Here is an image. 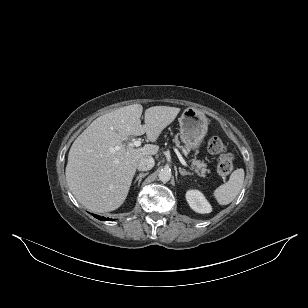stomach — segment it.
I'll return each instance as SVG.
<instances>
[{
  "label": "stomach",
  "instance_id": "1",
  "mask_svg": "<svg viewBox=\"0 0 308 308\" xmlns=\"http://www.w3.org/2000/svg\"><path fill=\"white\" fill-rule=\"evenodd\" d=\"M180 138L189 150H197L208 131V118L195 108H186L179 118Z\"/></svg>",
  "mask_w": 308,
  "mask_h": 308
}]
</instances>
